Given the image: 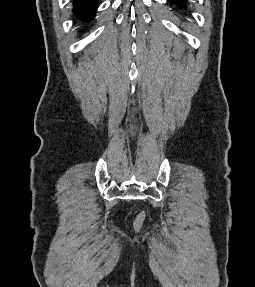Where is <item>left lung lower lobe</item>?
<instances>
[{
  "instance_id": "0a47b994",
  "label": "left lung lower lobe",
  "mask_w": 255,
  "mask_h": 287,
  "mask_svg": "<svg viewBox=\"0 0 255 287\" xmlns=\"http://www.w3.org/2000/svg\"><path fill=\"white\" fill-rule=\"evenodd\" d=\"M171 5H175L176 10L186 11L188 9V0H168Z\"/></svg>"
}]
</instances>
